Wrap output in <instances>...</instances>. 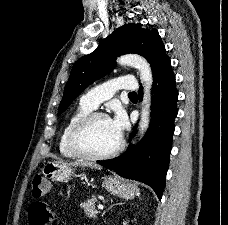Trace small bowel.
I'll use <instances>...</instances> for the list:
<instances>
[{
	"label": "small bowel",
	"mask_w": 228,
	"mask_h": 225,
	"mask_svg": "<svg viewBox=\"0 0 228 225\" xmlns=\"http://www.w3.org/2000/svg\"><path fill=\"white\" fill-rule=\"evenodd\" d=\"M37 203L38 204H30V207H28L29 218H32L30 225H49V223H51L53 207H50L49 204H41V199H38Z\"/></svg>",
	"instance_id": "1"
}]
</instances>
